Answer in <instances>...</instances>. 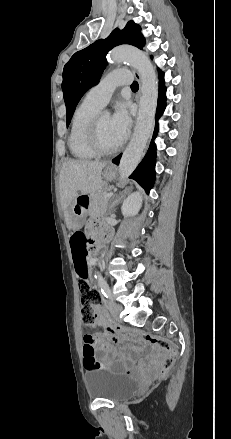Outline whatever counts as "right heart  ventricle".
I'll list each match as a JSON object with an SVG mask.
<instances>
[{"label": "right heart ventricle", "mask_w": 231, "mask_h": 439, "mask_svg": "<svg viewBox=\"0 0 231 439\" xmlns=\"http://www.w3.org/2000/svg\"><path fill=\"white\" fill-rule=\"evenodd\" d=\"M101 107L84 99L74 111L68 135V148L79 160H89L96 156L87 140L89 123Z\"/></svg>", "instance_id": "e07e8e85"}]
</instances>
